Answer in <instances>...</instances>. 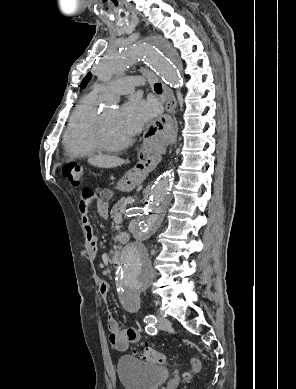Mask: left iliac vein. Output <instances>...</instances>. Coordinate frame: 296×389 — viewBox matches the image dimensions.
I'll return each instance as SVG.
<instances>
[{
    "label": "left iliac vein",
    "instance_id": "1",
    "mask_svg": "<svg viewBox=\"0 0 296 389\" xmlns=\"http://www.w3.org/2000/svg\"><path fill=\"white\" fill-rule=\"evenodd\" d=\"M171 325L170 321L163 317L162 315H158V327L161 329H167Z\"/></svg>",
    "mask_w": 296,
    "mask_h": 389
}]
</instances>
